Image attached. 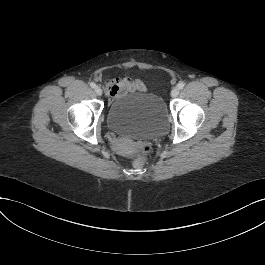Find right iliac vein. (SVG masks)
I'll return each mask as SVG.
<instances>
[{
  "mask_svg": "<svg viewBox=\"0 0 265 265\" xmlns=\"http://www.w3.org/2000/svg\"><path fill=\"white\" fill-rule=\"evenodd\" d=\"M94 90H95V93L97 94V95H102V89L99 87V86H96L95 88H94Z\"/></svg>",
  "mask_w": 265,
  "mask_h": 265,
  "instance_id": "1",
  "label": "right iliac vein"
}]
</instances>
